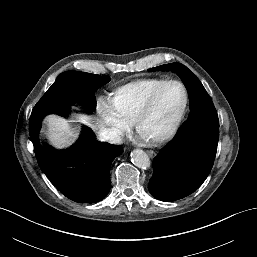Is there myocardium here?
I'll list each match as a JSON object with an SVG mask.
<instances>
[{
	"label": "myocardium",
	"mask_w": 257,
	"mask_h": 257,
	"mask_svg": "<svg viewBox=\"0 0 257 257\" xmlns=\"http://www.w3.org/2000/svg\"><path fill=\"white\" fill-rule=\"evenodd\" d=\"M172 84H176L181 87V89L183 91V95H184L183 103H182V106H181L179 112L177 113L176 117L174 118L173 122L171 123V125L169 126V128L166 131H164L162 134L152 137V138L146 137L147 141H149L151 144H154V145L161 144V143L165 142L166 140L170 139L178 130V128L182 122V119L185 115V112H186V109L188 106V101H189L188 91H187L185 85L181 81H178V80H168V81H165L164 83L160 84L149 95V97L147 98V100L145 101V103L142 105V107L139 109V111L137 112V114L135 116L136 130L139 133H141L142 121L145 119V117L149 114V112L154 107L162 90Z\"/></svg>",
	"instance_id": "obj_1"
}]
</instances>
